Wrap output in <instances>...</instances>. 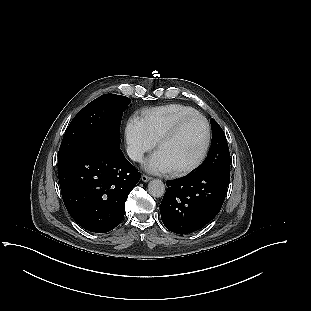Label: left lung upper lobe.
Listing matches in <instances>:
<instances>
[{"label": "left lung upper lobe", "mask_w": 311, "mask_h": 311, "mask_svg": "<svg viewBox=\"0 0 311 311\" xmlns=\"http://www.w3.org/2000/svg\"><path fill=\"white\" fill-rule=\"evenodd\" d=\"M212 143L208 157L196 172L217 171L230 175V152L225 133L219 124L211 118Z\"/></svg>", "instance_id": "obj_1"}]
</instances>
